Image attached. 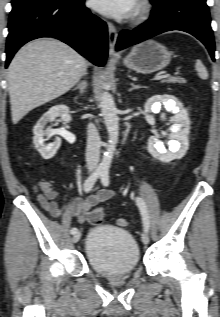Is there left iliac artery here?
I'll use <instances>...</instances> for the list:
<instances>
[{"instance_id":"1","label":"left iliac artery","mask_w":220,"mask_h":317,"mask_svg":"<svg viewBox=\"0 0 220 317\" xmlns=\"http://www.w3.org/2000/svg\"><path fill=\"white\" fill-rule=\"evenodd\" d=\"M101 182L104 186L109 185V171L108 170L102 171ZM135 201H136L137 206L139 207V210L141 212L144 230L146 232H148L149 227H150V222H149V215H148L146 204L143 201V199L140 197L135 198Z\"/></svg>"}]
</instances>
